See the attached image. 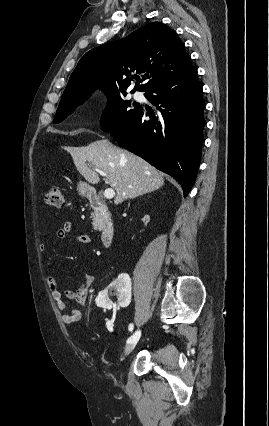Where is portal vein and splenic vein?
Masks as SVG:
<instances>
[{"mask_svg":"<svg viewBox=\"0 0 269 426\" xmlns=\"http://www.w3.org/2000/svg\"><path fill=\"white\" fill-rule=\"evenodd\" d=\"M94 170L96 172L100 173L102 176H104V177L106 176V174L102 170H100L98 168H94ZM114 196H115V191L112 188L105 189V191H104V197L106 199H112Z\"/></svg>","mask_w":269,"mask_h":426,"instance_id":"portal-vein-and-splenic-vein-1","label":"portal vein and splenic vein"}]
</instances>
